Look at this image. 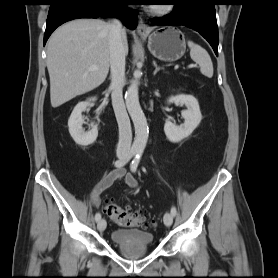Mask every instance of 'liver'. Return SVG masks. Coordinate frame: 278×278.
Instances as JSON below:
<instances>
[{"label":"liver","mask_w":278,"mask_h":278,"mask_svg":"<svg viewBox=\"0 0 278 278\" xmlns=\"http://www.w3.org/2000/svg\"><path fill=\"white\" fill-rule=\"evenodd\" d=\"M125 55L126 32L122 31ZM109 24L99 19H76L54 31L47 43L50 100L59 107L101 85L110 67ZM96 65L98 70L89 68Z\"/></svg>","instance_id":"obj_1"}]
</instances>
